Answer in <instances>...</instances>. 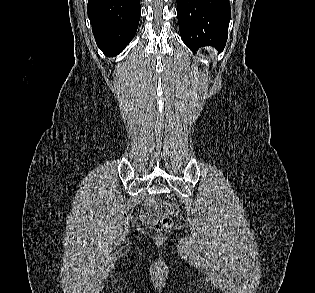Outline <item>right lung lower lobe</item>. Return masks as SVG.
Returning <instances> with one entry per match:
<instances>
[{
    "label": "right lung lower lobe",
    "instance_id": "1",
    "mask_svg": "<svg viewBox=\"0 0 315 293\" xmlns=\"http://www.w3.org/2000/svg\"><path fill=\"white\" fill-rule=\"evenodd\" d=\"M140 15V0H88L96 43L108 57L119 54L134 38Z\"/></svg>",
    "mask_w": 315,
    "mask_h": 293
}]
</instances>
